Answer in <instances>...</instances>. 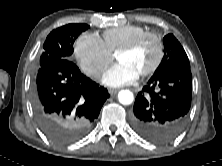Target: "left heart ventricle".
<instances>
[{"label": "left heart ventricle", "mask_w": 222, "mask_h": 166, "mask_svg": "<svg viewBox=\"0 0 222 166\" xmlns=\"http://www.w3.org/2000/svg\"><path fill=\"white\" fill-rule=\"evenodd\" d=\"M156 54V42L149 38L141 43L134 51L117 55V60L129 65L138 74H141L153 64Z\"/></svg>", "instance_id": "1"}]
</instances>
